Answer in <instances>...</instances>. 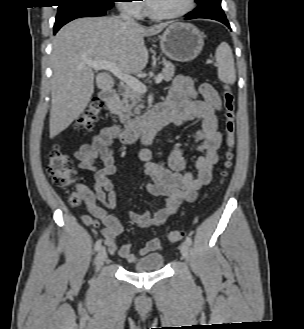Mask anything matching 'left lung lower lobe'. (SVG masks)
Listing matches in <instances>:
<instances>
[{
    "label": "left lung lower lobe",
    "mask_w": 304,
    "mask_h": 329,
    "mask_svg": "<svg viewBox=\"0 0 304 329\" xmlns=\"http://www.w3.org/2000/svg\"><path fill=\"white\" fill-rule=\"evenodd\" d=\"M198 7L189 12L185 19L207 18L225 24L230 28L229 22L221 7V0H199Z\"/></svg>",
    "instance_id": "left-lung-lower-lobe-1"
}]
</instances>
